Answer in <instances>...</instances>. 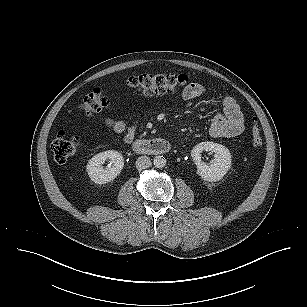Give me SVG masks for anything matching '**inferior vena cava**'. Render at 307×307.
<instances>
[{
	"label": "inferior vena cava",
	"instance_id": "obj_1",
	"mask_svg": "<svg viewBox=\"0 0 307 307\" xmlns=\"http://www.w3.org/2000/svg\"><path fill=\"white\" fill-rule=\"evenodd\" d=\"M151 160L147 156H140L136 160V167L138 170H143L151 166Z\"/></svg>",
	"mask_w": 307,
	"mask_h": 307
}]
</instances>
